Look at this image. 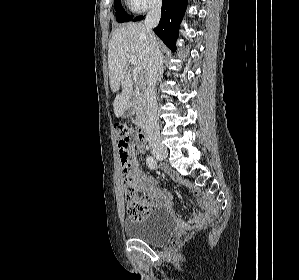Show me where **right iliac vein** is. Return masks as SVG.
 <instances>
[{"label": "right iliac vein", "instance_id": "obj_1", "mask_svg": "<svg viewBox=\"0 0 299 280\" xmlns=\"http://www.w3.org/2000/svg\"><path fill=\"white\" fill-rule=\"evenodd\" d=\"M152 152L157 159H164L168 156V152L165 148L153 149Z\"/></svg>", "mask_w": 299, "mask_h": 280}]
</instances>
